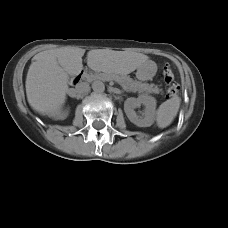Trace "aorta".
<instances>
[{
	"mask_svg": "<svg viewBox=\"0 0 228 228\" xmlns=\"http://www.w3.org/2000/svg\"><path fill=\"white\" fill-rule=\"evenodd\" d=\"M92 89L95 93L102 94L105 91V85L101 81H96L92 84Z\"/></svg>",
	"mask_w": 228,
	"mask_h": 228,
	"instance_id": "1",
	"label": "aorta"
}]
</instances>
